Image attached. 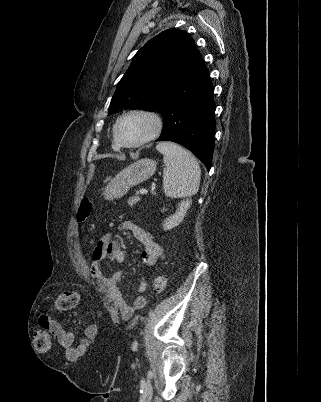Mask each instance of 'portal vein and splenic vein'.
Here are the masks:
<instances>
[{
  "instance_id": "obj_1",
  "label": "portal vein and splenic vein",
  "mask_w": 321,
  "mask_h": 402,
  "mask_svg": "<svg viewBox=\"0 0 321 402\" xmlns=\"http://www.w3.org/2000/svg\"><path fill=\"white\" fill-rule=\"evenodd\" d=\"M146 193H147V190L144 188L140 189L138 192V194H141V195L146 194Z\"/></svg>"
}]
</instances>
